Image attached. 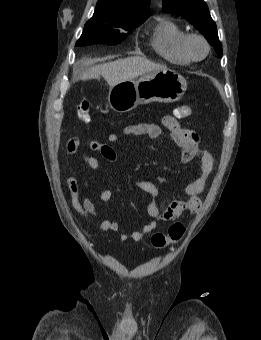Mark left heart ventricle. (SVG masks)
I'll return each instance as SVG.
<instances>
[{
	"label": "left heart ventricle",
	"instance_id": "obj_1",
	"mask_svg": "<svg viewBox=\"0 0 261 340\" xmlns=\"http://www.w3.org/2000/svg\"><path fill=\"white\" fill-rule=\"evenodd\" d=\"M192 50L197 56H202L204 54L205 48L200 41H194L192 43Z\"/></svg>",
	"mask_w": 261,
	"mask_h": 340
}]
</instances>
